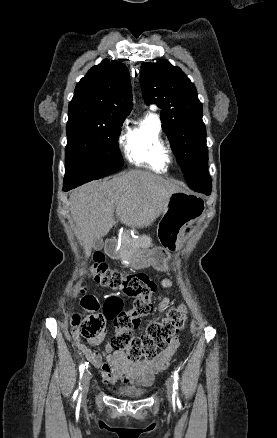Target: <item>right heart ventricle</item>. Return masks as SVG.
<instances>
[{
	"label": "right heart ventricle",
	"mask_w": 277,
	"mask_h": 438,
	"mask_svg": "<svg viewBox=\"0 0 277 438\" xmlns=\"http://www.w3.org/2000/svg\"><path fill=\"white\" fill-rule=\"evenodd\" d=\"M124 148L129 162L137 166L166 173L168 162L165 153L168 149L162 137L161 125L156 117L148 116L131 127L124 138Z\"/></svg>",
	"instance_id": "obj_1"
}]
</instances>
